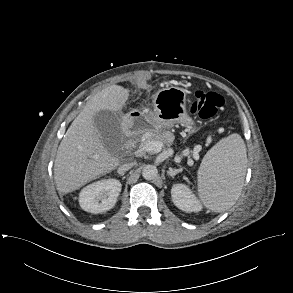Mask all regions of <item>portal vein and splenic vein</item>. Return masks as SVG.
Wrapping results in <instances>:
<instances>
[{
	"mask_svg": "<svg viewBox=\"0 0 293 293\" xmlns=\"http://www.w3.org/2000/svg\"><path fill=\"white\" fill-rule=\"evenodd\" d=\"M163 146H164L163 143L160 142V141L148 140V141H146V142L144 143V145H143V149H144L145 151L156 152V153H158V152H160V151L162 150ZM193 157H194L195 160H198V159H199V155H198V153L195 152V153L193 154Z\"/></svg>",
	"mask_w": 293,
	"mask_h": 293,
	"instance_id": "obj_1",
	"label": "portal vein and splenic vein"
}]
</instances>
